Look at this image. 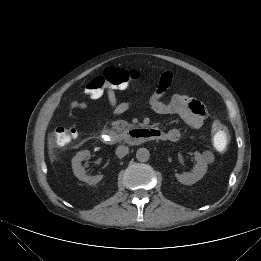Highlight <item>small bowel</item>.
Returning <instances> with one entry per match:
<instances>
[{"mask_svg":"<svg viewBox=\"0 0 261 261\" xmlns=\"http://www.w3.org/2000/svg\"><path fill=\"white\" fill-rule=\"evenodd\" d=\"M172 79V71L169 69L164 70L160 76L157 89L146 104L159 115H178L190 127L195 129L202 127L207 118V110L200 101L184 92L174 94L168 102L163 101L162 97L170 87ZM128 87L129 85L120 87L107 86L105 88L104 94L113 116L121 115L133 105L139 104L131 101H118L117 91L126 90ZM71 106L74 109L84 110L89 105L83 101H73ZM158 130L161 134L159 140L174 142L180 138V131L176 128L168 131Z\"/></svg>","mask_w":261,"mask_h":261,"instance_id":"c3829d8e","label":"small bowel"}]
</instances>
